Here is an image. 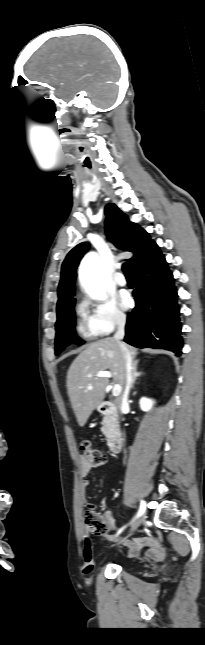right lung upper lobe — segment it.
Masks as SVG:
<instances>
[{"instance_id": "obj_1", "label": "right lung upper lobe", "mask_w": 205, "mask_h": 645, "mask_svg": "<svg viewBox=\"0 0 205 645\" xmlns=\"http://www.w3.org/2000/svg\"><path fill=\"white\" fill-rule=\"evenodd\" d=\"M105 214L107 216L105 222L107 236L117 247L134 253V256L129 259L134 270L161 254L159 247L150 239L148 233L137 224L130 222L128 217L114 204L106 206ZM88 249L89 243L78 244L68 253L62 264L61 280L58 286L57 314L75 301L73 296L76 267Z\"/></svg>"}]
</instances>
